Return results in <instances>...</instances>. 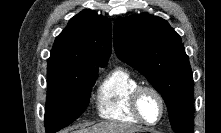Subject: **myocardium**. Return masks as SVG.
Here are the masks:
<instances>
[{
	"instance_id": "obj_1",
	"label": "myocardium",
	"mask_w": 221,
	"mask_h": 133,
	"mask_svg": "<svg viewBox=\"0 0 221 133\" xmlns=\"http://www.w3.org/2000/svg\"><path fill=\"white\" fill-rule=\"evenodd\" d=\"M145 93H150L154 95L160 105V116L155 122L147 121L141 111L140 100H141V97ZM130 106H131L132 113L139 120V122L147 126L158 125L162 121L166 113V104H165L164 97L162 96V94L160 93L158 89L149 85H140L133 91L131 98H130Z\"/></svg>"
}]
</instances>
